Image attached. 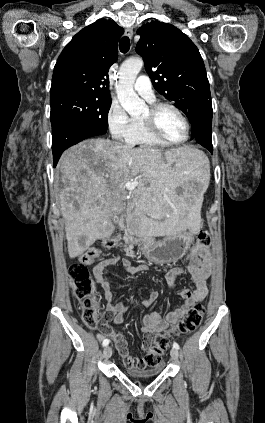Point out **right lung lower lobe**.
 Returning <instances> with one entry per match:
<instances>
[{"label":"right lung lower lobe","mask_w":265,"mask_h":423,"mask_svg":"<svg viewBox=\"0 0 265 423\" xmlns=\"http://www.w3.org/2000/svg\"><path fill=\"white\" fill-rule=\"evenodd\" d=\"M104 134L103 131L78 121H62L52 127V151L54 166L61 153L68 147L89 137Z\"/></svg>","instance_id":"1"}]
</instances>
